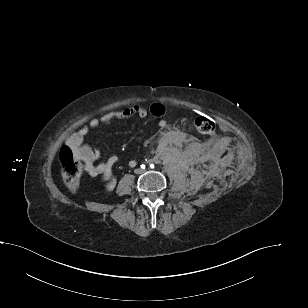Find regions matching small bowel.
I'll list each match as a JSON object with an SVG mask.
<instances>
[{
	"instance_id": "small-bowel-1",
	"label": "small bowel",
	"mask_w": 308,
	"mask_h": 308,
	"mask_svg": "<svg viewBox=\"0 0 308 308\" xmlns=\"http://www.w3.org/2000/svg\"><path fill=\"white\" fill-rule=\"evenodd\" d=\"M165 107L161 104H152L149 109L138 105L129 106L120 110L110 111L99 117L93 118L88 125L81 127L78 131L72 134L66 141L75 157L83 164L85 171L92 177H101L108 189L115 186L116 179L113 174V169L118 162L116 155H110L104 162L95 164V161L100 157V151L85 144V138L90 129L101 125H108L111 122L119 119L138 117L145 118L148 114L162 118L165 115ZM161 129L166 128L167 124L164 120L159 121ZM186 140V135L179 130H168L161 133L159 139V147L165 148L168 145H181ZM131 167L136 165L134 160L129 162Z\"/></svg>"
}]
</instances>
